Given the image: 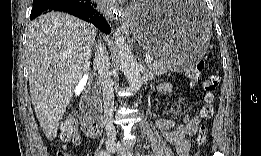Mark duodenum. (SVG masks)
I'll list each match as a JSON object with an SVG mask.
<instances>
[{"label": "duodenum", "mask_w": 261, "mask_h": 156, "mask_svg": "<svg viewBox=\"0 0 261 156\" xmlns=\"http://www.w3.org/2000/svg\"><path fill=\"white\" fill-rule=\"evenodd\" d=\"M86 98L81 103V118L84 122L102 126L100 90L95 80L90 81Z\"/></svg>", "instance_id": "1"}]
</instances>
